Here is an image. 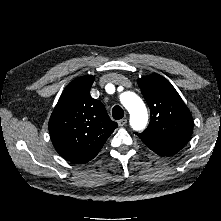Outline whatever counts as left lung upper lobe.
I'll return each instance as SVG.
<instances>
[{
    "label": "left lung upper lobe",
    "instance_id": "5c2ea615",
    "mask_svg": "<svg viewBox=\"0 0 221 221\" xmlns=\"http://www.w3.org/2000/svg\"><path fill=\"white\" fill-rule=\"evenodd\" d=\"M138 85L151 112L144 132L189 139L193 131L192 115L171 83L161 75L152 74L138 79Z\"/></svg>",
    "mask_w": 221,
    "mask_h": 221
}]
</instances>
